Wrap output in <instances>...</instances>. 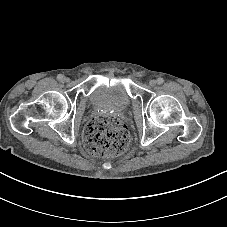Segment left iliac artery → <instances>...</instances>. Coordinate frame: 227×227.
I'll return each instance as SVG.
<instances>
[{
    "instance_id": "1",
    "label": "left iliac artery",
    "mask_w": 227,
    "mask_h": 227,
    "mask_svg": "<svg viewBox=\"0 0 227 227\" xmlns=\"http://www.w3.org/2000/svg\"><path fill=\"white\" fill-rule=\"evenodd\" d=\"M163 82H164V79H163V78L159 77V78L157 79V83H158L159 85L163 84Z\"/></svg>"
}]
</instances>
